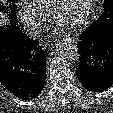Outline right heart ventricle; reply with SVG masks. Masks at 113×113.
<instances>
[{"label":"right heart ventricle","instance_id":"e07e8e85","mask_svg":"<svg viewBox=\"0 0 113 113\" xmlns=\"http://www.w3.org/2000/svg\"><path fill=\"white\" fill-rule=\"evenodd\" d=\"M24 1L29 7L47 16L51 13L52 4L55 0H24Z\"/></svg>","mask_w":113,"mask_h":113}]
</instances>
